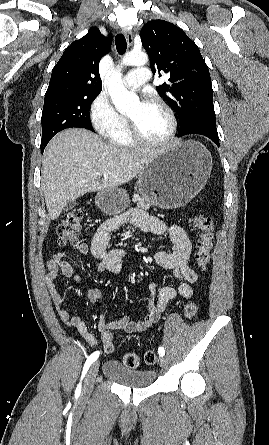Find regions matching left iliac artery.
Listing matches in <instances>:
<instances>
[{
	"mask_svg": "<svg viewBox=\"0 0 269 445\" xmlns=\"http://www.w3.org/2000/svg\"><path fill=\"white\" fill-rule=\"evenodd\" d=\"M158 353H159L160 356H164V355H165V350H164V348H163V347H159V348H158Z\"/></svg>",
	"mask_w": 269,
	"mask_h": 445,
	"instance_id": "obj_1",
	"label": "left iliac artery"
}]
</instances>
